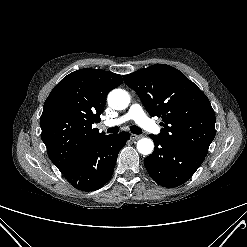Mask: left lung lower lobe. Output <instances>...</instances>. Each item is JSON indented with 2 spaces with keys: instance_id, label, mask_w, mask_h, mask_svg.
I'll list each match as a JSON object with an SVG mask.
<instances>
[{
  "instance_id": "1",
  "label": "left lung lower lobe",
  "mask_w": 247,
  "mask_h": 247,
  "mask_svg": "<svg viewBox=\"0 0 247 247\" xmlns=\"http://www.w3.org/2000/svg\"><path fill=\"white\" fill-rule=\"evenodd\" d=\"M154 152L144 159V165L159 185L173 188L188 181L205 159L193 150L168 144L156 135H150Z\"/></svg>"
}]
</instances>
